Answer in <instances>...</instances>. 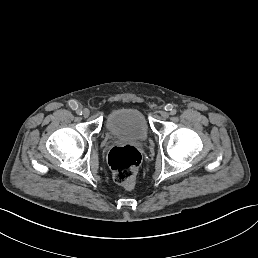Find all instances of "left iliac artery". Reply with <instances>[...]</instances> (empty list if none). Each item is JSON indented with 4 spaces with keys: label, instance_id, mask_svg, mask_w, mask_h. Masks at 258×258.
<instances>
[{
    "label": "left iliac artery",
    "instance_id": "left-iliac-artery-1",
    "mask_svg": "<svg viewBox=\"0 0 258 258\" xmlns=\"http://www.w3.org/2000/svg\"><path fill=\"white\" fill-rule=\"evenodd\" d=\"M170 114L171 115H176L177 114V110L176 109L171 110Z\"/></svg>",
    "mask_w": 258,
    "mask_h": 258
}]
</instances>
